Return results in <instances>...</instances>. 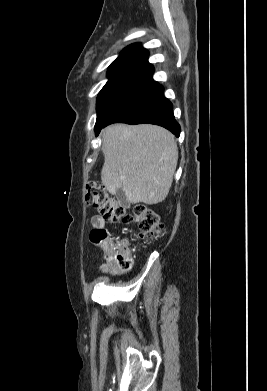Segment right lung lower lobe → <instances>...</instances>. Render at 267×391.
<instances>
[{"mask_svg":"<svg viewBox=\"0 0 267 391\" xmlns=\"http://www.w3.org/2000/svg\"><path fill=\"white\" fill-rule=\"evenodd\" d=\"M163 87L155 81L134 94L96 130V135L105 126L123 122L128 124L150 123L162 126L176 137L180 135V125L173 115L172 103L164 97Z\"/></svg>","mask_w":267,"mask_h":391,"instance_id":"obj_1","label":"right lung lower lobe"}]
</instances>
